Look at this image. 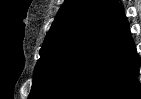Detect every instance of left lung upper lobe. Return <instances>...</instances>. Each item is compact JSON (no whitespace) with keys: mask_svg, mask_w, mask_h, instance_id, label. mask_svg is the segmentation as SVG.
Returning <instances> with one entry per match:
<instances>
[{"mask_svg":"<svg viewBox=\"0 0 141 99\" xmlns=\"http://www.w3.org/2000/svg\"><path fill=\"white\" fill-rule=\"evenodd\" d=\"M117 6L118 0H65L40 50L28 99H38L53 84Z\"/></svg>","mask_w":141,"mask_h":99,"instance_id":"1","label":"left lung upper lobe"}]
</instances>
